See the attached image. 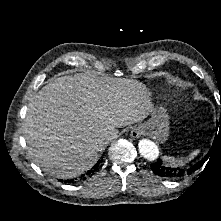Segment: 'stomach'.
I'll list each match as a JSON object with an SVG mask.
<instances>
[{"instance_id":"stomach-1","label":"stomach","mask_w":221,"mask_h":221,"mask_svg":"<svg viewBox=\"0 0 221 221\" xmlns=\"http://www.w3.org/2000/svg\"><path fill=\"white\" fill-rule=\"evenodd\" d=\"M157 140L164 142L169 135V116L163 107L155 109L144 126Z\"/></svg>"}]
</instances>
